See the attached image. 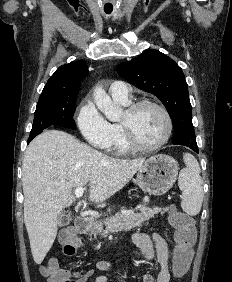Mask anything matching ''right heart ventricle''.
I'll return each mask as SVG.
<instances>
[{"mask_svg": "<svg viewBox=\"0 0 232 282\" xmlns=\"http://www.w3.org/2000/svg\"><path fill=\"white\" fill-rule=\"evenodd\" d=\"M117 103L127 105L128 101L115 100ZM112 131V139L109 146V150L114 154L122 155L131 151V148L125 141L123 131L120 123H110Z\"/></svg>", "mask_w": 232, "mask_h": 282, "instance_id": "obj_1", "label": "right heart ventricle"}]
</instances>
